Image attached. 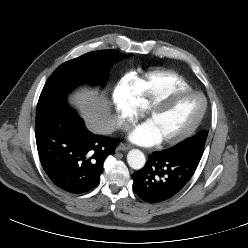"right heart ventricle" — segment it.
I'll return each instance as SVG.
<instances>
[{
	"mask_svg": "<svg viewBox=\"0 0 248 248\" xmlns=\"http://www.w3.org/2000/svg\"><path fill=\"white\" fill-rule=\"evenodd\" d=\"M125 85L132 90L143 109L172 90L192 89L182 76L169 70L153 71L140 77L132 76L126 80Z\"/></svg>",
	"mask_w": 248,
	"mask_h": 248,
	"instance_id": "e07e8e85",
	"label": "right heart ventricle"
}]
</instances>
